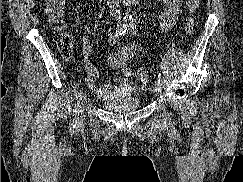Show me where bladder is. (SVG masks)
Here are the masks:
<instances>
[{"mask_svg":"<svg viewBox=\"0 0 243 182\" xmlns=\"http://www.w3.org/2000/svg\"><path fill=\"white\" fill-rule=\"evenodd\" d=\"M141 107V100L135 95L127 96L117 101H103L102 108L113 114H126L139 110Z\"/></svg>","mask_w":243,"mask_h":182,"instance_id":"1","label":"bladder"}]
</instances>
